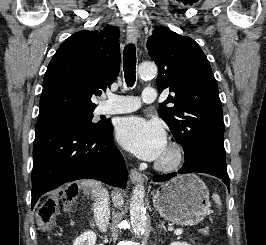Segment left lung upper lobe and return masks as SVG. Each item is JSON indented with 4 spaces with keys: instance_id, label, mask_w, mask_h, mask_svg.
Segmentation results:
<instances>
[{
    "instance_id": "5c2ea615",
    "label": "left lung upper lobe",
    "mask_w": 266,
    "mask_h": 245,
    "mask_svg": "<svg viewBox=\"0 0 266 245\" xmlns=\"http://www.w3.org/2000/svg\"><path fill=\"white\" fill-rule=\"evenodd\" d=\"M147 48L157 64L159 92L174 93L160 104L158 114L183 146L185 160L203 142L224 147V123L217 81L200 46L191 38L163 28L154 29ZM174 104L167 107L166 104Z\"/></svg>"
}]
</instances>
